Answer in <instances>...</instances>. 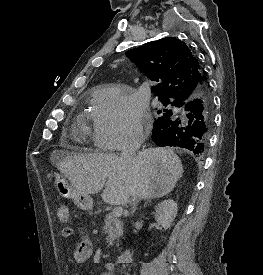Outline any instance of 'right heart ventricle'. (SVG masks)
<instances>
[{
	"label": "right heart ventricle",
	"mask_w": 263,
	"mask_h": 275,
	"mask_svg": "<svg viewBox=\"0 0 263 275\" xmlns=\"http://www.w3.org/2000/svg\"><path fill=\"white\" fill-rule=\"evenodd\" d=\"M89 134V127L87 126L84 116H80L77 120V126L75 130L76 139L79 141L84 140Z\"/></svg>",
	"instance_id": "obj_1"
}]
</instances>
